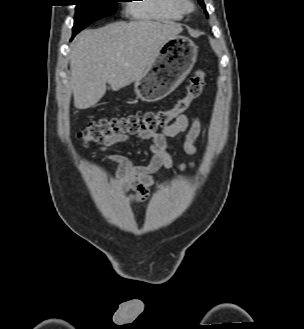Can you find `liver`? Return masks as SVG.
Instances as JSON below:
<instances>
[{"mask_svg":"<svg viewBox=\"0 0 304 329\" xmlns=\"http://www.w3.org/2000/svg\"><path fill=\"white\" fill-rule=\"evenodd\" d=\"M182 30L173 22L139 20L82 31L70 55L74 106H94L104 96L106 83L118 91L140 79L164 42Z\"/></svg>","mask_w":304,"mask_h":329,"instance_id":"liver-1","label":"liver"}]
</instances>
